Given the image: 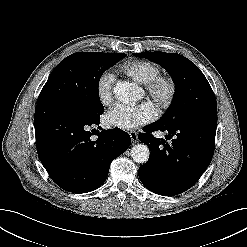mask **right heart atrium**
Wrapping results in <instances>:
<instances>
[{
  "instance_id": "1",
  "label": "right heart atrium",
  "mask_w": 247,
  "mask_h": 247,
  "mask_svg": "<svg viewBox=\"0 0 247 247\" xmlns=\"http://www.w3.org/2000/svg\"><path fill=\"white\" fill-rule=\"evenodd\" d=\"M114 81H115L114 75L108 71L100 74L96 80V84H95L96 94L100 103L104 106L110 105L113 101Z\"/></svg>"
}]
</instances>
